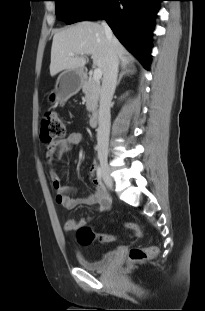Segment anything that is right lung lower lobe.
<instances>
[{"mask_svg":"<svg viewBox=\"0 0 205 311\" xmlns=\"http://www.w3.org/2000/svg\"><path fill=\"white\" fill-rule=\"evenodd\" d=\"M162 0H103L84 20L105 19L120 42L149 70L154 18Z\"/></svg>","mask_w":205,"mask_h":311,"instance_id":"1","label":"right lung lower lobe"}]
</instances>
